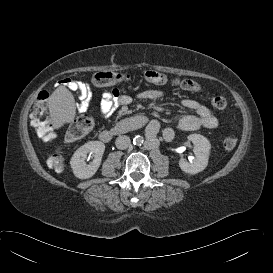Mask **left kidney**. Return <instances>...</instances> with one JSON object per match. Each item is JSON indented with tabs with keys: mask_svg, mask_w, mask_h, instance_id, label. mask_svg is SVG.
Here are the masks:
<instances>
[{
	"mask_svg": "<svg viewBox=\"0 0 273 273\" xmlns=\"http://www.w3.org/2000/svg\"><path fill=\"white\" fill-rule=\"evenodd\" d=\"M187 138L194 144L195 157L191 161L181 158L179 167L183 172L193 175L207 167L211 145L208 139L200 134H190Z\"/></svg>",
	"mask_w": 273,
	"mask_h": 273,
	"instance_id": "1",
	"label": "left kidney"
}]
</instances>
